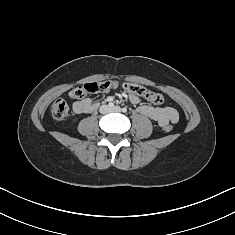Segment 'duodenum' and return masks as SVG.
Segmentation results:
<instances>
[{
    "mask_svg": "<svg viewBox=\"0 0 235 235\" xmlns=\"http://www.w3.org/2000/svg\"><path fill=\"white\" fill-rule=\"evenodd\" d=\"M97 107H98L97 105H93V106L91 107L90 111L93 112L94 110L97 109Z\"/></svg>",
    "mask_w": 235,
    "mask_h": 235,
    "instance_id": "1",
    "label": "duodenum"
}]
</instances>
